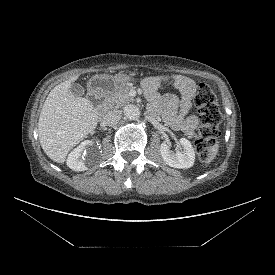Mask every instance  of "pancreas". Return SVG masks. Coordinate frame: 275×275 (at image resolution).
Segmentation results:
<instances>
[{"mask_svg":"<svg viewBox=\"0 0 275 275\" xmlns=\"http://www.w3.org/2000/svg\"><path fill=\"white\" fill-rule=\"evenodd\" d=\"M130 88L125 86L118 89L115 93L106 97V102L109 106L120 107L128 102L134 101L129 95Z\"/></svg>","mask_w":275,"mask_h":275,"instance_id":"pancreas-1","label":"pancreas"}]
</instances>
